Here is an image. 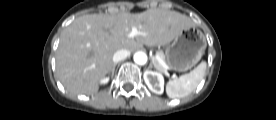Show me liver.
I'll use <instances>...</instances> for the list:
<instances>
[{"instance_id":"liver-1","label":"liver","mask_w":276,"mask_h":120,"mask_svg":"<svg viewBox=\"0 0 276 120\" xmlns=\"http://www.w3.org/2000/svg\"><path fill=\"white\" fill-rule=\"evenodd\" d=\"M192 20L176 11L155 8L142 13L89 14L76 18L62 32L56 56V73L73 94L94 95L99 82L112 69L113 55L146 46L169 44ZM136 27L141 34L127 35Z\"/></svg>"}]
</instances>
